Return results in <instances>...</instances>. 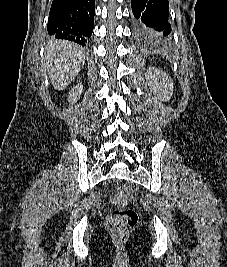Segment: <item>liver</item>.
Here are the masks:
<instances>
[{"mask_svg": "<svg viewBox=\"0 0 227 267\" xmlns=\"http://www.w3.org/2000/svg\"><path fill=\"white\" fill-rule=\"evenodd\" d=\"M45 59L50 81L56 90L65 89L85 63V56L78 45L61 40L48 44Z\"/></svg>", "mask_w": 227, "mask_h": 267, "instance_id": "liver-1", "label": "liver"}]
</instances>
